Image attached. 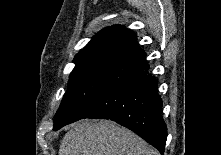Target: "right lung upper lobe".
Here are the masks:
<instances>
[{
  "label": "right lung upper lobe",
  "instance_id": "1",
  "mask_svg": "<svg viewBox=\"0 0 221 155\" xmlns=\"http://www.w3.org/2000/svg\"><path fill=\"white\" fill-rule=\"evenodd\" d=\"M138 47L136 35L120 25L102 29L73 60H82L100 55L127 56Z\"/></svg>",
  "mask_w": 221,
  "mask_h": 155
}]
</instances>
